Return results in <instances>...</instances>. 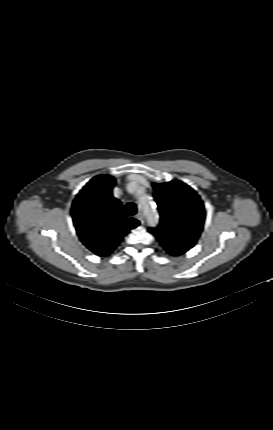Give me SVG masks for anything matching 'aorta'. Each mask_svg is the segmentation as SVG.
Listing matches in <instances>:
<instances>
[{
	"label": "aorta",
	"mask_w": 273,
	"mask_h": 430,
	"mask_svg": "<svg viewBox=\"0 0 273 430\" xmlns=\"http://www.w3.org/2000/svg\"><path fill=\"white\" fill-rule=\"evenodd\" d=\"M141 210L145 215L148 223L151 226L157 225L159 222V214L155 207L152 206L150 196L147 194H142L140 196Z\"/></svg>",
	"instance_id": "762f6f07"
}]
</instances>
